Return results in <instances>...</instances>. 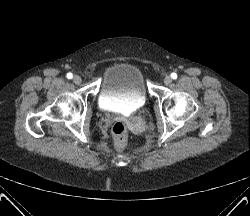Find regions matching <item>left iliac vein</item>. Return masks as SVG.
Here are the masks:
<instances>
[{"label":"left iliac vein","instance_id":"obj_1","mask_svg":"<svg viewBox=\"0 0 250 216\" xmlns=\"http://www.w3.org/2000/svg\"><path fill=\"white\" fill-rule=\"evenodd\" d=\"M171 82H172V77L169 76V75H167V76L164 78V83H165L166 85H169V84H171Z\"/></svg>","mask_w":250,"mask_h":216}]
</instances>
